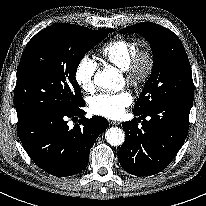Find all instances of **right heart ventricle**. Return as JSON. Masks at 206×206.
Masks as SVG:
<instances>
[{
  "mask_svg": "<svg viewBox=\"0 0 206 206\" xmlns=\"http://www.w3.org/2000/svg\"><path fill=\"white\" fill-rule=\"evenodd\" d=\"M138 48L139 44L136 40L116 38L106 43L99 53L105 62L124 71Z\"/></svg>",
  "mask_w": 206,
  "mask_h": 206,
  "instance_id": "obj_1",
  "label": "right heart ventricle"
}]
</instances>
